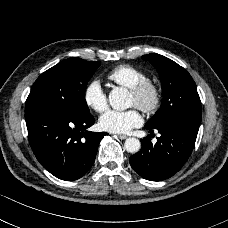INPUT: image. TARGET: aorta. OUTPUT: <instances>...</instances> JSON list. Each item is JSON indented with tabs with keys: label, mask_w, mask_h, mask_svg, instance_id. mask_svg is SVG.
<instances>
[{
	"label": "aorta",
	"mask_w": 228,
	"mask_h": 228,
	"mask_svg": "<svg viewBox=\"0 0 228 228\" xmlns=\"http://www.w3.org/2000/svg\"><path fill=\"white\" fill-rule=\"evenodd\" d=\"M129 97V91L124 87H115L109 93V103L114 110L122 111L131 106L130 102H127ZM124 147L129 153H136L141 148V142L137 138H127Z\"/></svg>",
	"instance_id": "1"
}]
</instances>
